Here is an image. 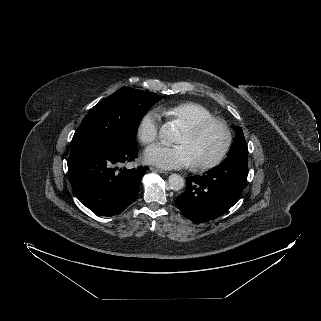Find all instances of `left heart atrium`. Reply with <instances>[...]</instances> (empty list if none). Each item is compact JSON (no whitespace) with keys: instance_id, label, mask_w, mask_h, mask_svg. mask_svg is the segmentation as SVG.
I'll return each instance as SVG.
<instances>
[{"instance_id":"1","label":"left heart atrium","mask_w":321,"mask_h":321,"mask_svg":"<svg viewBox=\"0 0 321 321\" xmlns=\"http://www.w3.org/2000/svg\"><path fill=\"white\" fill-rule=\"evenodd\" d=\"M144 160L162 169H175L193 164L190 148L185 144L166 145L158 143L148 147L144 152Z\"/></svg>"}]
</instances>
